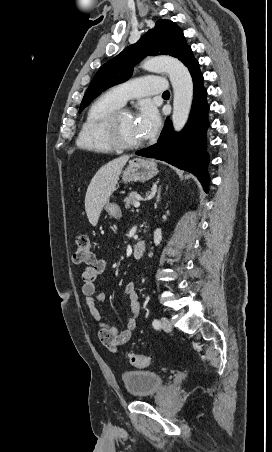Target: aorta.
Segmentation results:
<instances>
[{
	"label": "aorta",
	"mask_w": 272,
	"mask_h": 452,
	"mask_svg": "<svg viewBox=\"0 0 272 452\" xmlns=\"http://www.w3.org/2000/svg\"><path fill=\"white\" fill-rule=\"evenodd\" d=\"M142 68L149 72L168 73L174 93L172 123L176 131L182 130L193 100V81L187 67L176 58L161 56L146 60Z\"/></svg>",
	"instance_id": "aorta-1"
}]
</instances>
